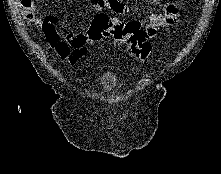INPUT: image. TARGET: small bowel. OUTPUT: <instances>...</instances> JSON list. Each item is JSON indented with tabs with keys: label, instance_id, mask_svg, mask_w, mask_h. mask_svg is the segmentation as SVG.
<instances>
[{
	"label": "small bowel",
	"instance_id": "obj_1",
	"mask_svg": "<svg viewBox=\"0 0 221 174\" xmlns=\"http://www.w3.org/2000/svg\"><path fill=\"white\" fill-rule=\"evenodd\" d=\"M148 1L154 4L159 3V0ZM93 7L97 15L103 14L105 10H110L118 15H125L132 10L122 0H94ZM178 20L179 10L177 6L166 3L163 5L161 13L152 12L148 14L144 29L149 39H151L155 37L158 28L172 26ZM57 22L54 17L42 18L39 15L34 20L36 27L41 30L56 53L68 63L75 64L87 54L86 43L88 39L85 34L70 33L65 40H61L56 30Z\"/></svg>",
	"mask_w": 221,
	"mask_h": 174
}]
</instances>
